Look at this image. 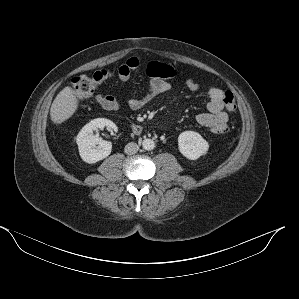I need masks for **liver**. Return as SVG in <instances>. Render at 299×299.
<instances>
[{
    "mask_svg": "<svg viewBox=\"0 0 299 299\" xmlns=\"http://www.w3.org/2000/svg\"><path fill=\"white\" fill-rule=\"evenodd\" d=\"M77 109V94L70 86H66L58 93L51 105L50 119L54 124H61L69 119Z\"/></svg>",
    "mask_w": 299,
    "mask_h": 299,
    "instance_id": "1",
    "label": "liver"
}]
</instances>
